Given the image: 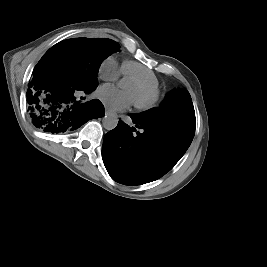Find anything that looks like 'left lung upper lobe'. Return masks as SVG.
I'll return each mask as SVG.
<instances>
[{
    "instance_id": "left-lung-upper-lobe-1",
    "label": "left lung upper lobe",
    "mask_w": 267,
    "mask_h": 267,
    "mask_svg": "<svg viewBox=\"0 0 267 267\" xmlns=\"http://www.w3.org/2000/svg\"><path fill=\"white\" fill-rule=\"evenodd\" d=\"M131 115L147 125L172 128L191 138L195 134V111L190 94L184 89L170 91L159 108Z\"/></svg>"
}]
</instances>
